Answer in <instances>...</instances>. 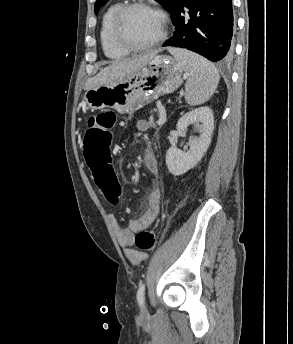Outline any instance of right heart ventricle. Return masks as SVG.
I'll use <instances>...</instances> for the list:
<instances>
[{"instance_id": "1", "label": "right heart ventricle", "mask_w": 293, "mask_h": 344, "mask_svg": "<svg viewBox=\"0 0 293 344\" xmlns=\"http://www.w3.org/2000/svg\"><path fill=\"white\" fill-rule=\"evenodd\" d=\"M123 4L116 1L109 5L103 13L100 25V43L105 56L111 60H121L129 55V51L119 47L112 37V22L118 9Z\"/></svg>"}]
</instances>
